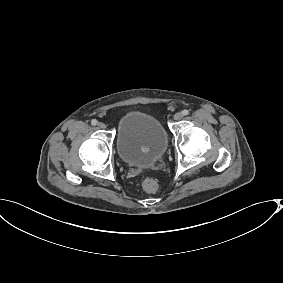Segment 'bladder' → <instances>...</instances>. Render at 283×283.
Returning <instances> with one entry per match:
<instances>
[{"label": "bladder", "instance_id": "1", "mask_svg": "<svg viewBox=\"0 0 283 283\" xmlns=\"http://www.w3.org/2000/svg\"><path fill=\"white\" fill-rule=\"evenodd\" d=\"M115 133L119 158L134 166L155 162L168 146V135L160 120L145 112L124 113L117 121Z\"/></svg>", "mask_w": 283, "mask_h": 283}]
</instances>
